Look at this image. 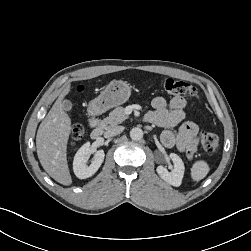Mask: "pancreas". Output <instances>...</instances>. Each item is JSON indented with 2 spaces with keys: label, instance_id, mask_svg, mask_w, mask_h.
Returning <instances> with one entry per match:
<instances>
[{
  "label": "pancreas",
  "instance_id": "1",
  "mask_svg": "<svg viewBox=\"0 0 251 251\" xmlns=\"http://www.w3.org/2000/svg\"><path fill=\"white\" fill-rule=\"evenodd\" d=\"M128 118L123 107H116L113 111L109 113V116L101 121V126L103 128H110L122 123Z\"/></svg>",
  "mask_w": 251,
  "mask_h": 251
}]
</instances>
